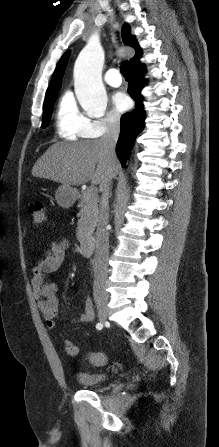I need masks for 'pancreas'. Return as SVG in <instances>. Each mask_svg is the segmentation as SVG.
Instances as JSON below:
<instances>
[{"label":"pancreas","mask_w":219,"mask_h":447,"mask_svg":"<svg viewBox=\"0 0 219 447\" xmlns=\"http://www.w3.org/2000/svg\"><path fill=\"white\" fill-rule=\"evenodd\" d=\"M98 200L97 194L89 196L88 191H83L80 195V202L78 204L80 207V219L78 220L76 233L77 239L80 242L88 239L95 229L99 216Z\"/></svg>","instance_id":"cf45deb5"}]
</instances>
